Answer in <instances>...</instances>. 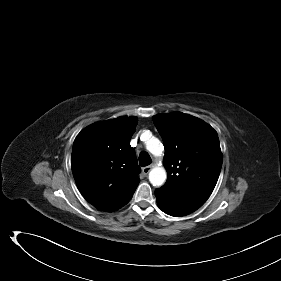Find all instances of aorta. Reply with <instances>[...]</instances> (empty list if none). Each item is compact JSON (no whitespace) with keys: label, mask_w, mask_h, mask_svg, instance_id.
<instances>
[{"label":"aorta","mask_w":281,"mask_h":281,"mask_svg":"<svg viewBox=\"0 0 281 281\" xmlns=\"http://www.w3.org/2000/svg\"><path fill=\"white\" fill-rule=\"evenodd\" d=\"M147 150L154 156H161L164 150L162 143L156 137H148L145 141ZM167 178L164 167L156 166L149 173V181L153 186H162Z\"/></svg>","instance_id":"762f6f07"}]
</instances>
